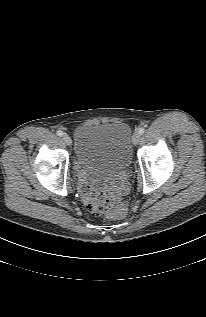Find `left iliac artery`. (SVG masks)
<instances>
[{"label":"left iliac artery","mask_w":206,"mask_h":317,"mask_svg":"<svg viewBox=\"0 0 206 317\" xmlns=\"http://www.w3.org/2000/svg\"><path fill=\"white\" fill-rule=\"evenodd\" d=\"M144 132H145V129H144L143 127H141V128L139 129V133L142 135Z\"/></svg>","instance_id":"left-iliac-artery-1"}]
</instances>
